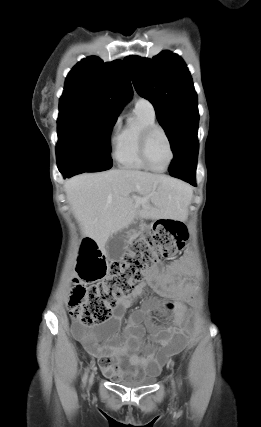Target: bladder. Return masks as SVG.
Here are the masks:
<instances>
[{"label":"bladder","instance_id":"obj_1","mask_svg":"<svg viewBox=\"0 0 261 427\" xmlns=\"http://www.w3.org/2000/svg\"><path fill=\"white\" fill-rule=\"evenodd\" d=\"M155 381V376H142L133 379L123 380L122 382H120V384L126 387L135 388L150 386L155 383Z\"/></svg>","mask_w":261,"mask_h":427}]
</instances>
